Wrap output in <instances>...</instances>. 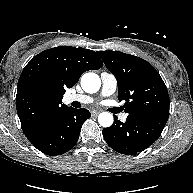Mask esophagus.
I'll return each instance as SVG.
<instances>
[{"mask_svg": "<svg viewBox=\"0 0 193 193\" xmlns=\"http://www.w3.org/2000/svg\"><path fill=\"white\" fill-rule=\"evenodd\" d=\"M99 113H100V111H98V110H92L91 111L92 116H97Z\"/></svg>", "mask_w": 193, "mask_h": 193, "instance_id": "34e87169", "label": "esophagus"}]
</instances>
